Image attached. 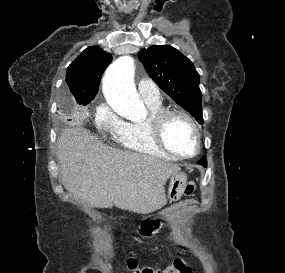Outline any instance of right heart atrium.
<instances>
[{"instance_id":"d8ad5b80","label":"right heart atrium","mask_w":285,"mask_h":273,"mask_svg":"<svg viewBox=\"0 0 285 273\" xmlns=\"http://www.w3.org/2000/svg\"><path fill=\"white\" fill-rule=\"evenodd\" d=\"M124 123L125 122L107 102H101L96 107L94 124L98 130L110 133L115 137L122 129Z\"/></svg>"}]
</instances>
